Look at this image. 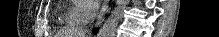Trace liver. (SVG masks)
Instances as JSON below:
<instances>
[{
	"label": "liver",
	"instance_id": "liver-1",
	"mask_svg": "<svg viewBox=\"0 0 219 37\" xmlns=\"http://www.w3.org/2000/svg\"><path fill=\"white\" fill-rule=\"evenodd\" d=\"M77 35H85L84 33H78ZM78 37H84V36H78Z\"/></svg>",
	"mask_w": 219,
	"mask_h": 37
}]
</instances>
